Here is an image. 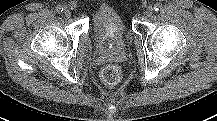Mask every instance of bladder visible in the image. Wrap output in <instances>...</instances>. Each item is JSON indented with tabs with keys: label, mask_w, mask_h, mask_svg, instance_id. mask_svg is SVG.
Masks as SVG:
<instances>
[{
	"label": "bladder",
	"mask_w": 217,
	"mask_h": 121,
	"mask_svg": "<svg viewBox=\"0 0 217 121\" xmlns=\"http://www.w3.org/2000/svg\"><path fill=\"white\" fill-rule=\"evenodd\" d=\"M92 30L104 52L116 53L125 48L126 27L121 16L112 7L101 8L95 13Z\"/></svg>",
	"instance_id": "1"
}]
</instances>
